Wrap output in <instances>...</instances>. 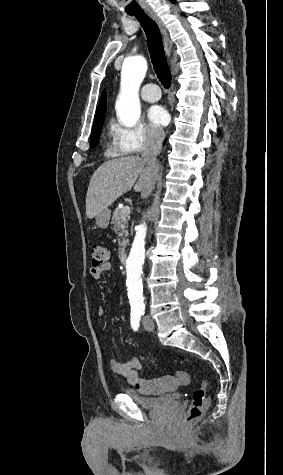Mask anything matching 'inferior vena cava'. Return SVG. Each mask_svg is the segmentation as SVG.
<instances>
[{
  "mask_svg": "<svg viewBox=\"0 0 283 475\" xmlns=\"http://www.w3.org/2000/svg\"><path fill=\"white\" fill-rule=\"evenodd\" d=\"M165 134L160 130V132H147L146 134V144L145 150L142 152V160L146 162V174L151 178V186L143 198L149 196L151 190L154 188V184L158 178V172L161 168L157 160L162 150V144L164 142Z\"/></svg>",
  "mask_w": 283,
  "mask_h": 475,
  "instance_id": "inferior-vena-cava-1",
  "label": "inferior vena cava"
}]
</instances>
